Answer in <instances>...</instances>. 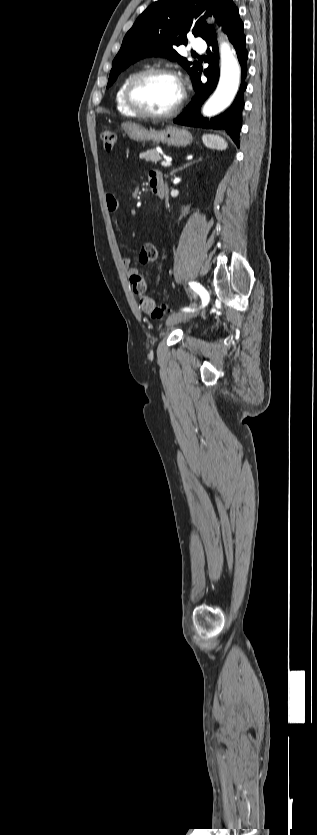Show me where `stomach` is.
Returning <instances> with one entry per match:
<instances>
[{
  "mask_svg": "<svg viewBox=\"0 0 317 835\" xmlns=\"http://www.w3.org/2000/svg\"><path fill=\"white\" fill-rule=\"evenodd\" d=\"M121 126L128 137L136 142L151 140L153 142L168 144L169 146L186 147L193 140L192 134L188 130L177 127H167L163 130L151 128L148 130L132 122H125Z\"/></svg>",
  "mask_w": 317,
  "mask_h": 835,
  "instance_id": "obj_1",
  "label": "stomach"
}]
</instances>
